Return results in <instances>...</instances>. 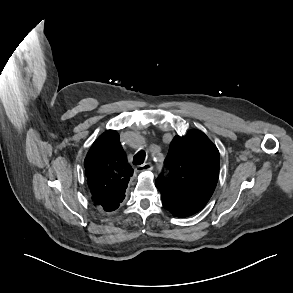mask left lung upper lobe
I'll return each mask as SVG.
<instances>
[{
  "mask_svg": "<svg viewBox=\"0 0 293 293\" xmlns=\"http://www.w3.org/2000/svg\"><path fill=\"white\" fill-rule=\"evenodd\" d=\"M165 163L168 177L160 176L156 186L163 199L193 214L200 211L212 196L219 176L220 157L217 147L201 131L176 136Z\"/></svg>",
  "mask_w": 293,
  "mask_h": 293,
  "instance_id": "1",
  "label": "left lung upper lobe"
}]
</instances>
